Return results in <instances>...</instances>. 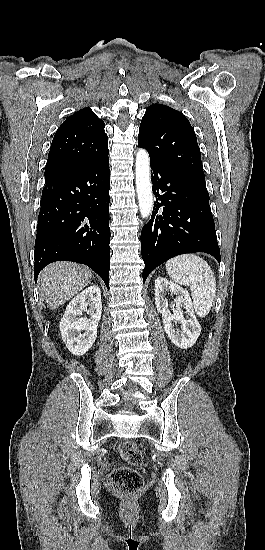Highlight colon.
I'll use <instances>...</instances> for the list:
<instances>
[{"label": "colon", "mask_w": 265, "mask_h": 550, "mask_svg": "<svg viewBox=\"0 0 265 550\" xmlns=\"http://www.w3.org/2000/svg\"><path fill=\"white\" fill-rule=\"evenodd\" d=\"M118 453L120 457L131 466H141L144 462L142 451L133 442L120 444ZM108 485L116 494L132 495L141 490L143 478L141 474L132 467H118L110 473Z\"/></svg>", "instance_id": "1"}]
</instances>
